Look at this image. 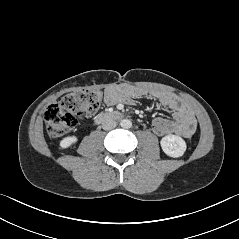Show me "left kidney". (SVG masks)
<instances>
[{
  "label": "left kidney",
  "mask_w": 239,
  "mask_h": 239,
  "mask_svg": "<svg viewBox=\"0 0 239 239\" xmlns=\"http://www.w3.org/2000/svg\"><path fill=\"white\" fill-rule=\"evenodd\" d=\"M160 144L164 153L173 158L181 157L187 147L185 141L176 135H167L163 137Z\"/></svg>",
  "instance_id": "obj_1"
}]
</instances>
